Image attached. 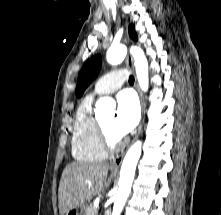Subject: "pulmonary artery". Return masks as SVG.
Returning <instances> with one entry per match:
<instances>
[{
	"mask_svg": "<svg viewBox=\"0 0 221 215\" xmlns=\"http://www.w3.org/2000/svg\"><path fill=\"white\" fill-rule=\"evenodd\" d=\"M127 77L128 73L124 69L107 73L96 82L92 95H103L116 91L127 80Z\"/></svg>",
	"mask_w": 221,
	"mask_h": 215,
	"instance_id": "e3ab8cb5",
	"label": "pulmonary artery"
}]
</instances>
